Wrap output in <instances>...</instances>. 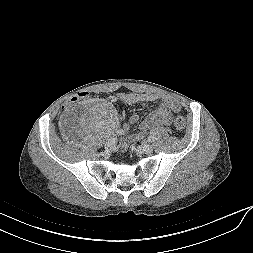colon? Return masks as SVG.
Here are the masks:
<instances>
[{"instance_id": "5ec220e1", "label": "colon", "mask_w": 253, "mask_h": 253, "mask_svg": "<svg viewBox=\"0 0 253 253\" xmlns=\"http://www.w3.org/2000/svg\"><path fill=\"white\" fill-rule=\"evenodd\" d=\"M89 98V93L87 91H78L74 92L70 96V100H66L63 103V108L65 110H70L73 107V103H77L80 100H87ZM174 127L177 131L183 132L186 127V121L182 116H177L174 119Z\"/></svg>"}]
</instances>
